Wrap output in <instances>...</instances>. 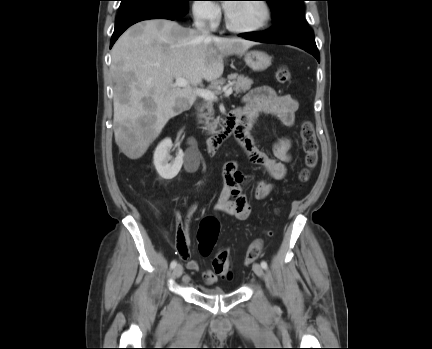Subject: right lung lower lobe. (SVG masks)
<instances>
[{"mask_svg":"<svg viewBox=\"0 0 432 349\" xmlns=\"http://www.w3.org/2000/svg\"><path fill=\"white\" fill-rule=\"evenodd\" d=\"M182 16L169 10L158 7H140L117 16L115 29L111 38L110 48L113 46L118 37L131 25L149 19H169L175 20Z\"/></svg>","mask_w":432,"mask_h":349,"instance_id":"obj_1","label":"right lung lower lobe"}]
</instances>
